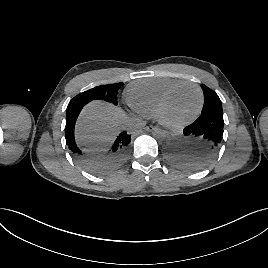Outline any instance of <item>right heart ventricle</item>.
<instances>
[{
    "label": "right heart ventricle",
    "mask_w": 268,
    "mask_h": 268,
    "mask_svg": "<svg viewBox=\"0 0 268 268\" xmlns=\"http://www.w3.org/2000/svg\"><path fill=\"white\" fill-rule=\"evenodd\" d=\"M184 82L173 78H150L133 82L126 91L130 107L144 117H154L164 94L173 86Z\"/></svg>",
    "instance_id": "obj_1"
}]
</instances>
